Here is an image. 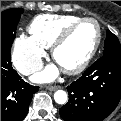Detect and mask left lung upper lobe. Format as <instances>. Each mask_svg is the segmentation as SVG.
<instances>
[{"instance_id":"1","label":"left lung upper lobe","mask_w":121,"mask_h":121,"mask_svg":"<svg viewBox=\"0 0 121 121\" xmlns=\"http://www.w3.org/2000/svg\"><path fill=\"white\" fill-rule=\"evenodd\" d=\"M107 54H121L120 42L110 30H107V37L104 42V55Z\"/></svg>"}]
</instances>
